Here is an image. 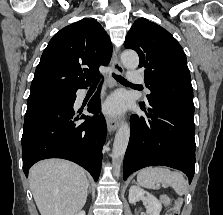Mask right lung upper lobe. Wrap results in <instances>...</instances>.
<instances>
[{
	"label": "right lung upper lobe",
	"instance_id": "cb5924a9",
	"mask_svg": "<svg viewBox=\"0 0 223 215\" xmlns=\"http://www.w3.org/2000/svg\"><path fill=\"white\" fill-rule=\"evenodd\" d=\"M112 44L95 19H83L57 32L36 68L30 94L75 92L88 86L99 66H106ZM88 66L89 68H84Z\"/></svg>",
	"mask_w": 223,
	"mask_h": 215
}]
</instances>
